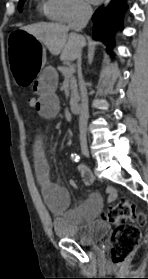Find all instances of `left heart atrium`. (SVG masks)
<instances>
[{
	"instance_id": "left-heart-atrium-1",
	"label": "left heart atrium",
	"mask_w": 148,
	"mask_h": 279,
	"mask_svg": "<svg viewBox=\"0 0 148 279\" xmlns=\"http://www.w3.org/2000/svg\"><path fill=\"white\" fill-rule=\"evenodd\" d=\"M90 3H93V4H97L99 3L101 0H88Z\"/></svg>"
}]
</instances>
